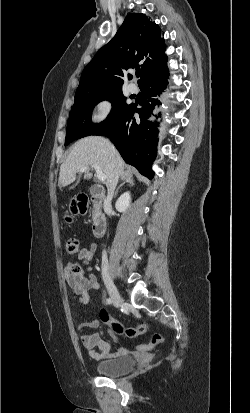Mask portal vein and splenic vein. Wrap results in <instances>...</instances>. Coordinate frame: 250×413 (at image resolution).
<instances>
[{
    "label": "portal vein and splenic vein",
    "instance_id": "18ae733b",
    "mask_svg": "<svg viewBox=\"0 0 250 413\" xmlns=\"http://www.w3.org/2000/svg\"><path fill=\"white\" fill-rule=\"evenodd\" d=\"M92 167H93V168L95 169V171H96L98 180L101 181V182H104V181L106 180V176H105V174L102 172L101 168H100L98 165H96V164L92 165ZM87 169H88V167H87V166H84V167H82V168L80 169V171H81V172H85Z\"/></svg>",
    "mask_w": 250,
    "mask_h": 413
}]
</instances>
